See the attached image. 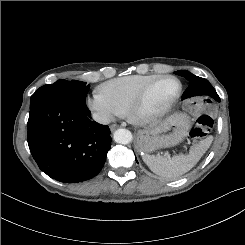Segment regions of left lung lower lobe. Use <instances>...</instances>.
<instances>
[{
	"label": "left lung lower lobe",
	"mask_w": 245,
	"mask_h": 245,
	"mask_svg": "<svg viewBox=\"0 0 245 245\" xmlns=\"http://www.w3.org/2000/svg\"><path fill=\"white\" fill-rule=\"evenodd\" d=\"M212 98L215 99L217 102H220V98H219L218 94L214 95Z\"/></svg>",
	"instance_id": "left-lung-lower-lobe-1"
}]
</instances>
